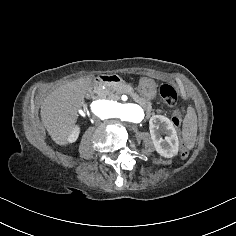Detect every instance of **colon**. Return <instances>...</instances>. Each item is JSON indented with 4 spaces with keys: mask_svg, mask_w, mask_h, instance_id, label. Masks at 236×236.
Masks as SVG:
<instances>
[{
    "mask_svg": "<svg viewBox=\"0 0 236 236\" xmlns=\"http://www.w3.org/2000/svg\"><path fill=\"white\" fill-rule=\"evenodd\" d=\"M160 95L165 102L166 105L169 107H174L177 104V91L175 88L167 83H164L160 87ZM181 112L176 111L173 115L172 121L175 126H179L181 122Z\"/></svg>",
    "mask_w": 236,
    "mask_h": 236,
    "instance_id": "1",
    "label": "colon"
}]
</instances>
